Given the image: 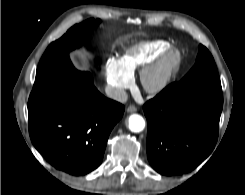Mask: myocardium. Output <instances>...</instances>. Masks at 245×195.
I'll return each mask as SVG.
<instances>
[{"instance_id": "1", "label": "myocardium", "mask_w": 245, "mask_h": 195, "mask_svg": "<svg viewBox=\"0 0 245 195\" xmlns=\"http://www.w3.org/2000/svg\"><path fill=\"white\" fill-rule=\"evenodd\" d=\"M182 61L178 49L170 47L140 72V84L150 94L161 92L170 83Z\"/></svg>"}]
</instances>
